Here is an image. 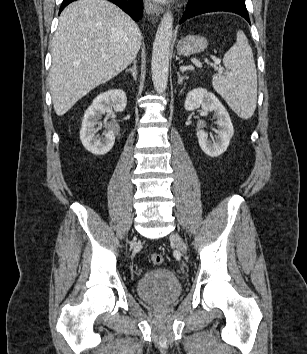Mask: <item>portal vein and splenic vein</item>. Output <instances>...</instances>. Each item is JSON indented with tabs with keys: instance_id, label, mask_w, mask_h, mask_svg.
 <instances>
[{
	"instance_id": "1",
	"label": "portal vein and splenic vein",
	"mask_w": 307,
	"mask_h": 354,
	"mask_svg": "<svg viewBox=\"0 0 307 354\" xmlns=\"http://www.w3.org/2000/svg\"><path fill=\"white\" fill-rule=\"evenodd\" d=\"M105 56H106V55H104V57H105ZM212 59H213V61H214V65H215V66H217V65H219V64L221 63V60L218 59V58L212 57Z\"/></svg>"
}]
</instances>
